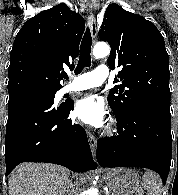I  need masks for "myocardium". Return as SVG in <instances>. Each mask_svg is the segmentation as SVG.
Returning a JSON list of instances; mask_svg holds the SVG:
<instances>
[{
	"label": "myocardium",
	"instance_id": "f54148a6",
	"mask_svg": "<svg viewBox=\"0 0 178 195\" xmlns=\"http://www.w3.org/2000/svg\"><path fill=\"white\" fill-rule=\"evenodd\" d=\"M114 131H115V127H114V125L113 124H109L108 126H107V128H106V131H105V133H106V135H112L113 133H114Z\"/></svg>",
	"mask_w": 178,
	"mask_h": 195
}]
</instances>
